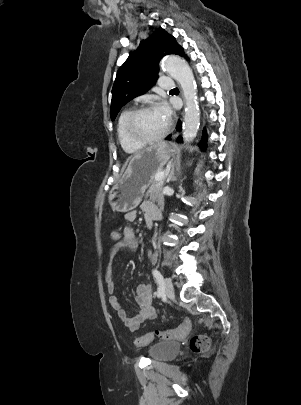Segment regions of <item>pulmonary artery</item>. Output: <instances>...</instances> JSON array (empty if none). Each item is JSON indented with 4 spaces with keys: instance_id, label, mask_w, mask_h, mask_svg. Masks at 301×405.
<instances>
[{
    "instance_id": "pulmonary-artery-1",
    "label": "pulmonary artery",
    "mask_w": 301,
    "mask_h": 405,
    "mask_svg": "<svg viewBox=\"0 0 301 405\" xmlns=\"http://www.w3.org/2000/svg\"><path fill=\"white\" fill-rule=\"evenodd\" d=\"M159 86L166 90H171L174 87L173 80L168 76H162L159 79Z\"/></svg>"
}]
</instances>
